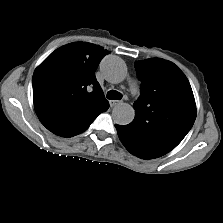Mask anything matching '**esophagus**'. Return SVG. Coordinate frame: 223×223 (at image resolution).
Returning a JSON list of instances; mask_svg holds the SVG:
<instances>
[{"mask_svg": "<svg viewBox=\"0 0 223 223\" xmlns=\"http://www.w3.org/2000/svg\"><path fill=\"white\" fill-rule=\"evenodd\" d=\"M120 103H121V101H118V100H110V102H109L111 107H114Z\"/></svg>", "mask_w": 223, "mask_h": 223, "instance_id": "esophagus-1", "label": "esophagus"}]
</instances>
